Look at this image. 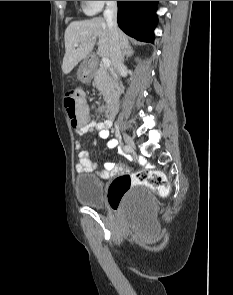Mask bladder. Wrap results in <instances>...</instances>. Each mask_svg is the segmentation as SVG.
<instances>
[{"label":"bladder","instance_id":"31cf9c89","mask_svg":"<svg viewBox=\"0 0 233 295\" xmlns=\"http://www.w3.org/2000/svg\"><path fill=\"white\" fill-rule=\"evenodd\" d=\"M75 192L81 204L101 209L104 207L105 187L103 182L91 175H79L75 179ZM126 211L141 222L154 218L157 212V203L151 190L140 188L128 204Z\"/></svg>","mask_w":233,"mask_h":295}]
</instances>
